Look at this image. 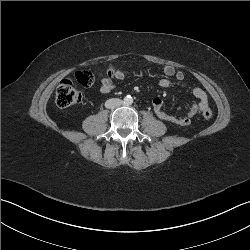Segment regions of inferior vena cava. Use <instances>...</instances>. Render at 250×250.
<instances>
[{
    "label": "inferior vena cava",
    "instance_id": "1",
    "mask_svg": "<svg viewBox=\"0 0 250 250\" xmlns=\"http://www.w3.org/2000/svg\"><path fill=\"white\" fill-rule=\"evenodd\" d=\"M123 103V101L121 99H118V98H112V99H109L105 102V107L106 108H109V109H114L116 107H119L121 106Z\"/></svg>",
    "mask_w": 250,
    "mask_h": 250
}]
</instances>
